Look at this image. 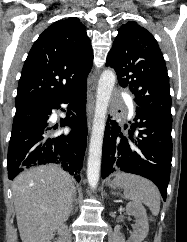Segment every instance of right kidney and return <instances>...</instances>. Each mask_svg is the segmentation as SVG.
<instances>
[{"label": "right kidney", "instance_id": "1", "mask_svg": "<svg viewBox=\"0 0 187 242\" xmlns=\"http://www.w3.org/2000/svg\"><path fill=\"white\" fill-rule=\"evenodd\" d=\"M64 228H65L64 225H61V226L57 227L56 229L58 231H60V232H63L64 231ZM53 236H54V234H53V231H52V232L46 234L43 237V239L41 241H39V242H50V240L53 238Z\"/></svg>", "mask_w": 187, "mask_h": 242}]
</instances>
